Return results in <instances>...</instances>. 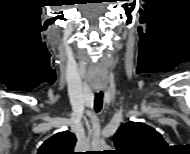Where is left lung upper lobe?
Returning a JSON list of instances; mask_svg holds the SVG:
<instances>
[{"mask_svg":"<svg viewBox=\"0 0 190 154\" xmlns=\"http://www.w3.org/2000/svg\"><path fill=\"white\" fill-rule=\"evenodd\" d=\"M113 140L117 154H160L167 147L159 132L140 122L121 125Z\"/></svg>","mask_w":190,"mask_h":154,"instance_id":"5c2ea615","label":"left lung upper lobe"}]
</instances>
